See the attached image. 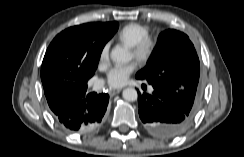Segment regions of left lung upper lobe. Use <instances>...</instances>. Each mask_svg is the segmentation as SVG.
I'll return each mask as SVG.
<instances>
[{
  "label": "left lung upper lobe",
  "instance_id": "left-lung-upper-lobe-1",
  "mask_svg": "<svg viewBox=\"0 0 244 157\" xmlns=\"http://www.w3.org/2000/svg\"><path fill=\"white\" fill-rule=\"evenodd\" d=\"M200 63L189 37L183 32L169 29L162 32L147 66L136 74L146 79L183 105H190L193 112L201 96Z\"/></svg>",
  "mask_w": 244,
  "mask_h": 157
}]
</instances>
